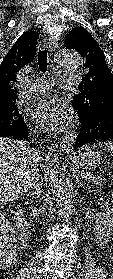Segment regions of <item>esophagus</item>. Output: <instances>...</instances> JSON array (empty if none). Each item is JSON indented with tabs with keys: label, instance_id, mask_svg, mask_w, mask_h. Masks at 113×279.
Wrapping results in <instances>:
<instances>
[{
	"label": "esophagus",
	"instance_id": "obj_1",
	"mask_svg": "<svg viewBox=\"0 0 113 279\" xmlns=\"http://www.w3.org/2000/svg\"><path fill=\"white\" fill-rule=\"evenodd\" d=\"M44 46H46L48 48L50 56H52L55 48L52 44V37L50 35L45 37ZM51 66H52L53 70H58L60 68V66L57 63H55L53 60H51ZM75 137H76V135H74V134L66 135L60 143L61 151L69 152L72 148V142L74 141Z\"/></svg>",
	"mask_w": 113,
	"mask_h": 279
}]
</instances>
